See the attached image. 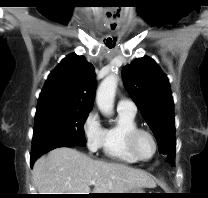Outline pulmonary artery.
Here are the masks:
<instances>
[{"label":"pulmonary artery","instance_id":"pulmonary-artery-1","mask_svg":"<svg viewBox=\"0 0 208 198\" xmlns=\"http://www.w3.org/2000/svg\"><path fill=\"white\" fill-rule=\"evenodd\" d=\"M117 110L130 114H136L137 107L133 101L127 98H121L117 103Z\"/></svg>","mask_w":208,"mask_h":198}]
</instances>
